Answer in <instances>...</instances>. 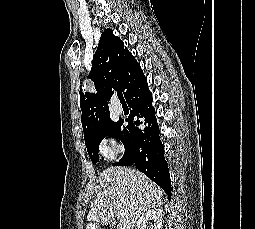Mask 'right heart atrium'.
Segmentation results:
<instances>
[{
    "label": "right heart atrium",
    "instance_id": "obj_1",
    "mask_svg": "<svg viewBox=\"0 0 255 229\" xmlns=\"http://www.w3.org/2000/svg\"><path fill=\"white\" fill-rule=\"evenodd\" d=\"M99 151L108 160H114L123 151V146L112 137H107L99 144Z\"/></svg>",
    "mask_w": 255,
    "mask_h": 229
}]
</instances>
